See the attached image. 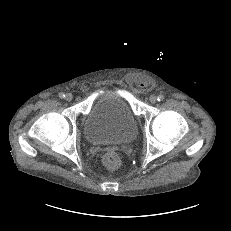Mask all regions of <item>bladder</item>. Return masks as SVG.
Returning a JSON list of instances; mask_svg holds the SVG:
<instances>
[{"instance_id": "bladder-1", "label": "bladder", "mask_w": 231, "mask_h": 231, "mask_svg": "<svg viewBox=\"0 0 231 231\" xmlns=\"http://www.w3.org/2000/svg\"><path fill=\"white\" fill-rule=\"evenodd\" d=\"M83 132L91 144L122 146L137 138L138 124L128 102L115 92H106L94 100Z\"/></svg>"}]
</instances>
